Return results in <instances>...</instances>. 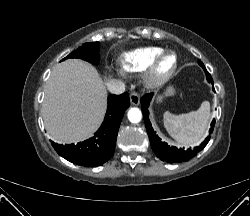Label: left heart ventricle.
<instances>
[{
	"mask_svg": "<svg viewBox=\"0 0 250 216\" xmlns=\"http://www.w3.org/2000/svg\"><path fill=\"white\" fill-rule=\"evenodd\" d=\"M174 59L171 56L165 57L158 68L159 73H166L173 66Z\"/></svg>",
	"mask_w": 250,
	"mask_h": 216,
	"instance_id": "left-heart-ventricle-1",
	"label": "left heart ventricle"
}]
</instances>
